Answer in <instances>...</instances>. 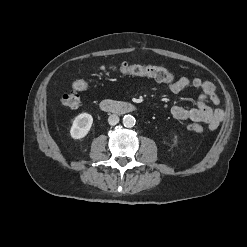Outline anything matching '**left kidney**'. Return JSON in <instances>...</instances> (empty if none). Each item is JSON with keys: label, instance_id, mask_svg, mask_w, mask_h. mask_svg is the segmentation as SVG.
<instances>
[{"label": "left kidney", "instance_id": "5707ae66", "mask_svg": "<svg viewBox=\"0 0 247 247\" xmlns=\"http://www.w3.org/2000/svg\"><path fill=\"white\" fill-rule=\"evenodd\" d=\"M174 139H177V136L176 135L174 136Z\"/></svg>", "mask_w": 247, "mask_h": 247}]
</instances>
